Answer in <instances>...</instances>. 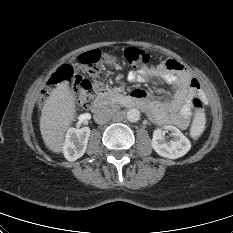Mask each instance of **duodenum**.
Returning a JSON list of instances; mask_svg holds the SVG:
<instances>
[{"label":"duodenum","instance_id":"410a0bca","mask_svg":"<svg viewBox=\"0 0 233 233\" xmlns=\"http://www.w3.org/2000/svg\"><path fill=\"white\" fill-rule=\"evenodd\" d=\"M108 102H116L126 107H133L137 104L135 98L121 95L110 89H104L97 96L94 106L100 108Z\"/></svg>","mask_w":233,"mask_h":233}]
</instances>
